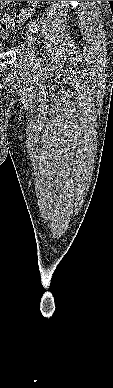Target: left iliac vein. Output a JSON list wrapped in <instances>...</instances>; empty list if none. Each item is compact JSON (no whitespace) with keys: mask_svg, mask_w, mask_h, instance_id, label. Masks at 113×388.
Wrapping results in <instances>:
<instances>
[{"mask_svg":"<svg viewBox=\"0 0 113 388\" xmlns=\"http://www.w3.org/2000/svg\"><path fill=\"white\" fill-rule=\"evenodd\" d=\"M25 35H26V41H27L28 45L30 46L31 50L33 51L34 46H35V38H34L32 32L30 31V29L27 30Z\"/></svg>","mask_w":113,"mask_h":388,"instance_id":"4c4485c4","label":"left iliac vein"}]
</instances>
